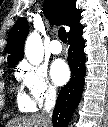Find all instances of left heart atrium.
I'll use <instances>...</instances> for the list:
<instances>
[{"instance_id": "39dd6f15", "label": "left heart atrium", "mask_w": 108, "mask_h": 127, "mask_svg": "<svg viewBox=\"0 0 108 127\" xmlns=\"http://www.w3.org/2000/svg\"><path fill=\"white\" fill-rule=\"evenodd\" d=\"M51 76L58 85L66 83L70 77L68 65L61 59L55 60L51 66Z\"/></svg>"}]
</instances>
